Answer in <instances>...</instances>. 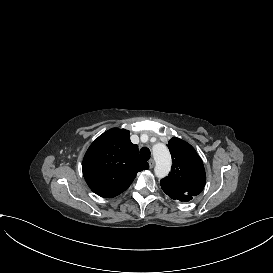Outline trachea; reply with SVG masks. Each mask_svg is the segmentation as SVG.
Returning <instances> with one entry per match:
<instances>
[{
    "instance_id": "3493384b",
    "label": "trachea",
    "mask_w": 273,
    "mask_h": 273,
    "mask_svg": "<svg viewBox=\"0 0 273 273\" xmlns=\"http://www.w3.org/2000/svg\"><path fill=\"white\" fill-rule=\"evenodd\" d=\"M140 156L143 160H149L151 156V152L147 147H143L140 150Z\"/></svg>"
}]
</instances>
